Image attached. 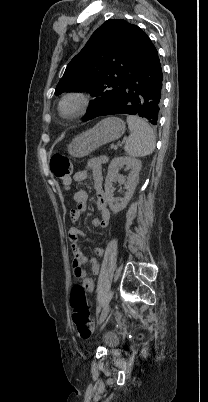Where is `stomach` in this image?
Returning <instances> with one entry per match:
<instances>
[{
    "label": "stomach",
    "mask_w": 208,
    "mask_h": 402,
    "mask_svg": "<svg viewBox=\"0 0 208 402\" xmlns=\"http://www.w3.org/2000/svg\"><path fill=\"white\" fill-rule=\"evenodd\" d=\"M125 132V124L120 118H105L97 126L76 136L67 148L68 154L74 158H84L100 146L121 138Z\"/></svg>",
    "instance_id": "obj_1"
}]
</instances>
